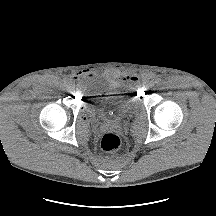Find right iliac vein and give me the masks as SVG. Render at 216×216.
Segmentation results:
<instances>
[{"label":"right iliac vein","mask_w":216,"mask_h":216,"mask_svg":"<svg viewBox=\"0 0 216 216\" xmlns=\"http://www.w3.org/2000/svg\"><path fill=\"white\" fill-rule=\"evenodd\" d=\"M72 92H77V87H73Z\"/></svg>","instance_id":"63e3f726"}]
</instances>
